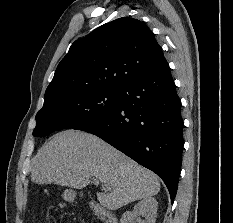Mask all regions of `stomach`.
<instances>
[{
  "mask_svg": "<svg viewBox=\"0 0 233 223\" xmlns=\"http://www.w3.org/2000/svg\"><path fill=\"white\" fill-rule=\"evenodd\" d=\"M76 195L77 191H74V189H65V191L62 193V197L65 199V201H73Z\"/></svg>",
  "mask_w": 233,
  "mask_h": 223,
  "instance_id": "stomach-1",
  "label": "stomach"
}]
</instances>
